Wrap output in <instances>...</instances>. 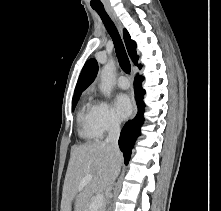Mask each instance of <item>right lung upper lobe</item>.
<instances>
[{
    "mask_svg": "<svg viewBox=\"0 0 221 211\" xmlns=\"http://www.w3.org/2000/svg\"><path fill=\"white\" fill-rule=\"evenodd\" d=\"M123 36L125 40V44L127 47V51L132 59V61L140 68L141 65H138L136 60L138 59L137 53H136V43L131 40L129 33L126 29L123 30ZM98 72V64L95 59L88 60L79 76L74 97L80 96L81 93L94 81L96 75Z\"/></svg>",
    "mask_w": 221,
    "mask_h": 211,
    "instance_id": "1",
    "label": "right lung upper lobe"
}]
</instances>
